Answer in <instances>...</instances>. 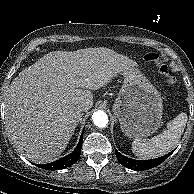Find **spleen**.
<instances>
[{
    "label": "spleen",
    "mask_w": 194,
    "mask_h": 194,
    "mask_svg": "<svg viewBox=\"0 0 194 194\" xmlns=\"http://www.w3.org/2000/svg\"><path fill=\"white\" fill-rule=\"evenodd\" d=\"M188 116L182 112L168 122L167 130L149 139H134L132 151L140 159H151L162 156L173 150L179 143L181 134L184 132Z\"/></svg>",
    "instance_id": "obj_1"
}]
</instances>
